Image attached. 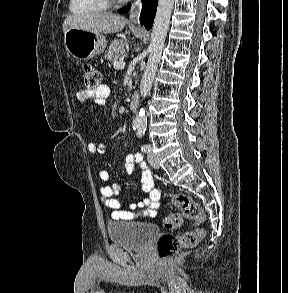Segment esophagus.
Wrapping results in <instances>:
<instances>
[{"label": "esophagus", "instance_id": "1", "mask_svg": "<svg viewBox=\"0 0 288 293\" xmlns=\"http://www.w3.org/2000/svg\"><path fill=\"white\" fill-rule=\"evenodd\" d=\"M140 11L141 5H136V7H134V9L131 11L129 19L132 23L136 24L138 22Z\"/></svg>", "mask_w": 288, "mask_h": 293}]
</instances>
